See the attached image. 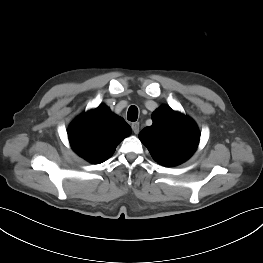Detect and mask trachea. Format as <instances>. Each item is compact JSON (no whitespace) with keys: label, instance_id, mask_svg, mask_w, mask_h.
I'll return each mask as SVG.
<instances>
[{"label":"trachea","instance_id":"trachea-1","mask_svg":"<svg viewBox=\"0 0 263 263\" xmlns=\"http://www.w3.org/2000/svg\"><path fill=\"white\" fill-rule=\"evenodd\" d=\"M127 118L129 121H136L138 118V108L136 106H130L127 113Z\"/></svg>","mask_w":263,"mask_h":263}]
</instances>
